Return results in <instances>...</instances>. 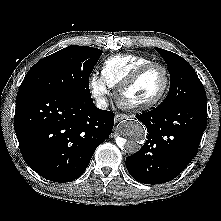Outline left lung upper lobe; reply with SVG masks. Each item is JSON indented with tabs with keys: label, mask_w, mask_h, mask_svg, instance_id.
Returning a JSON list of instances; mask_svg holds the SVG:
<instances>
[{
	"label": "left lung upper lobe",
	"mask_w": 221,
	"mask_h": 221,
	"mask_svg": "<svg viewBox=\"0 0 221 221\" xmlns=\"http://www.w3.org/2000/svg\"><path fill=\"white\" fill-rule=\"evenodd\" d=\"M168 65L170 89L160 105L175 106L189 100H206L205 89L192 66L179 55L156 48Z\"/></svg>",
	"instance_id": "1"
}]
</instances>
